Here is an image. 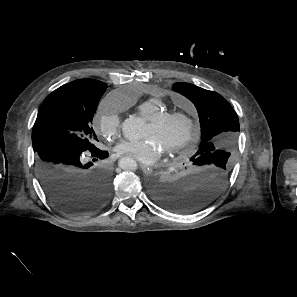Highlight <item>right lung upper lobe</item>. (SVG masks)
<instances>
[{
  "mask_svg": "<svg viewBox=\"0 0 297 297\" xmlns=\"http://www.w3.org/2000/svg\"><path fill=\"white\" fill-rule=\"evenodd\" d=\"M104 87H106V85L98 80L79 79L59 87L58 89L53 91L49 96H52L55 93H58L60 91L67 90V89H82L87 91H94L98 89L99 90L103 89Z\"/></svg>",
  "mask_w": 297,
  "mask_h": 297,
  "instance_id": "right-lung-upper-lobe-1",
  "label": "right lung upper lobe"
}]
</instances>
